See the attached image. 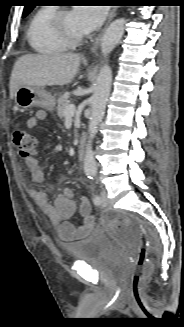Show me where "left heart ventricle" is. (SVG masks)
<instances>
[{"mask_svg":"<svg viewBox=\"0 0 184 327\" xmlns=\"http://www.w3.org/2000/svg\"><path fill=\"white\" fill-rule=\"evenodd\" d=\"M64 24L66 30L74 35V36H81L84 35L85 33L81 30L75 16L73 15V12L70 11L64 18Z\"/></svg>","mask_w":184,"mask_h":327,"instance_id":"1","label":"left heart ventricle"}]
</instances>
